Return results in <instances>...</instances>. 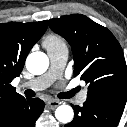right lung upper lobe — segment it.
Returning a JSON list of instances; mask_svg holds the SVG:
<instances>
[{"label":"right lung upper lobe","instance_id":"obj_1","mask_svg":"<svg viewBox=\"0 0 127 127\" xmlns=\"http://www.w3.org/2000/svg\"><path fill=\"white\" fill-rule=\"evenodd\" d=\"M46 29L47 20L0 24V121L26 99L10 83L19 76L29 51Z\"/></svg>","mask_w":127,"mask_h":127}]
</instances>
